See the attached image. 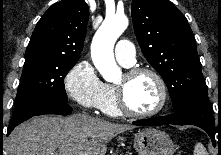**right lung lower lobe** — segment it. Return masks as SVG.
Returning <instances> with one entry per match:
<instances>
[{
    "label": "right lung lower lobe",
    "mask_w": 221,
    "mask_h": 155,
    "mask_svg": "<svg viewBox=\"0 0 221 155\" xmlns=\"http://www.w3.org/2000/svg\"><path fill=\"white\" fill-rule=\"evenodd\" d=\"M72 112V108L66 103L54 102V101H41L33 104L29 108L25 109L21 113L12 117L7 135L20 123L25 120L38 115L43 114H59L67 115Z\"/></svg>",
    "instance_id": "1"
}]
</instances>
